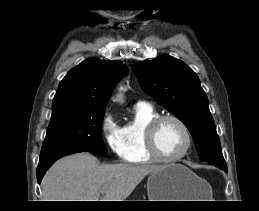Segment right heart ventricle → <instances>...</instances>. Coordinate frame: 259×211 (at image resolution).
I'll list each match as a JSON object with an SVG mask.
<instances>
[{
  "label": "right heart ventricle",
  "mask_w": 259,
  "mask_h": 211,
  "mask_svg": "<svg viewBox=\"0 0 259 211\" xmlns=\"http://www.w3.org/2000/svg\"><path fill=\"white\" fill-rule=\"evenodd\" d=\"M158 112L150 104L138 103L128 122L121 127L123 142L122 159L128 163L144 164L153 162L145 145V128Z\"/></svg>",
  "instance_id": "right-heart-ventricle-1"
}]
</instances>
